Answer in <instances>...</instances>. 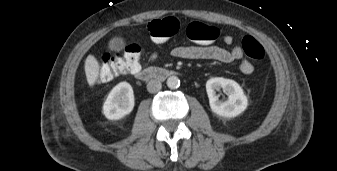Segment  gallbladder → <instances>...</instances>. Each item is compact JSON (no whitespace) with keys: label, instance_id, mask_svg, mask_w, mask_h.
<instances>
[{"label":"gallbladder","instance_id":"1","mask_svg":"<svg viewBox=\"0 0 337 171\" xmlns=\"http://www.w3.org/2000/svg\"><path fill=\"white\" fill-rule=\"evenodd\" d=\"M121 46H122V42L119 41V40H117V39H116V40H113V41L111 42V48H112V49L117 50V49H120Z\"/></svg>","mask_w":337,"mask_h":171}]
</instances>
